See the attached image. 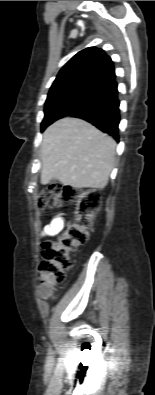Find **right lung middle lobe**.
<instances>
[{
	"mask_svg": "<svg viewBox=\"0 0 155 395\" xmlns=\"http://www.w3.org/2000/svg\"><path fill=\"white\" fill-rule=\"evenodd\" d=\"M102 87L73 82L51 87L45 102L42 130L54 121L68 116L79 107L91 101L102 91Z\"/></svg>",
	"mask_w": 155,
	"mask_h": 395,
	"instance_id": "right-lung-middle-lobe-1",
	"label": "right lung middle lobe"
}]
</instances>
